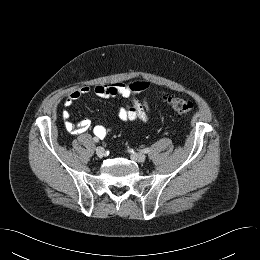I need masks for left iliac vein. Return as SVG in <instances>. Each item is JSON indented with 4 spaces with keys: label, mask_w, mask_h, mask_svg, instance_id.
Here are the masks:
<instances>
[{
    "label": "left iliac vein",
    "mask_w": 260,
    "mask_h": 260,
    "mask_svg": "<svg viewBox=\"0 0 260 260\" xmlns=\"http://www.w3.org/2000/svg\"><path fill=\"white\" fill-rule=\"evenodd\" d=\"M130 158L135 162H144L146 159V155L143 153H132Z\"/></svg>",
    "instance_id": "left-iliac-vein-1"
}]
</instances>
